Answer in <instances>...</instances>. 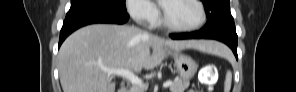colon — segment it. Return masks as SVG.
<instances>
[{"label":"colon","instance_id":"5ec220e1","mask_svg":"<svg viewBox=\"0 0 296 92\" xmlns=\"http://www.w3.org/2000/svg\"><path fill=\"white\" fill-rule=\"evenodd\" d=\"M216 67L213 65H209L203 68L200 73V81L205 85L213 84L216 77Z\"/></svg>","mask_w":296,"mask_h":92}]
</instances>
